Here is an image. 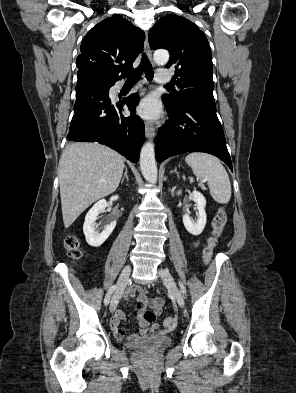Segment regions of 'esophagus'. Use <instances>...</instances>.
<instances>
[{
    "mask_svg": "<svg viewBox=\"0 0 296 393\" xmlns=\"http://www.w3.org/2000/svg\"><path fill=\"white\" fill-rule=\"evenodd\" d=\"M144 49H145V53L148 56V58L150 59L152 65H155V63L152 60V51L150 49V45L148 42V36L146 34V38H145V43H144ZM145 136L149 139L154 138L155 136V128L152 124L146 123L145 124Z\"/></svg>",
    "mask_w": 296,
    "mask_h": 393,
    "instance_id": "esophagus-1",
    "label": "esophagus"
}]
</instances>
